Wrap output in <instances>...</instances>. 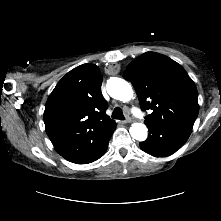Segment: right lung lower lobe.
Listing matches in <instances>:
<instances>
[{"mask_svg":"<svg viewBox=\"0 0 221 221\" xmlns=\"http://www.w3.org/2000/svg\"><path fill=\"white\" fill-rule=\"evenodd\" d=\"M114 130L115 128L103 136L91 150L73 162L77 164H87L99 159L106 152L109 140Z\"/></svg>","mask_w":221,"mask_h":221,"instance_id":"98d812e1","label":"right lung lower lobe"}]
</instances>
